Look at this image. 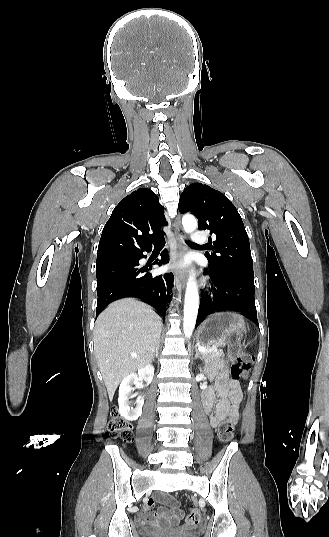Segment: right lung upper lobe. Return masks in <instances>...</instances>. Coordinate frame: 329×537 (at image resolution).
<instances>
[{
	"label": "right lung upper lobe",
	"mask_w": 329,
	"mask_h": 537,
	"mask_svg": "<svg viewBox=\"0 0 329 537\" xmlns=\"http://www.w3.org/2000/svg\"><path fill=\"white\" fill-rule=\"evenodd\" d=\"M167 226L164 207L150 189L140 188L113 210L103 228L97 262L130 257L151 249L150 241L163 235Z\"/></svg>",
	"instance_id": "1"
}]
</instances>
